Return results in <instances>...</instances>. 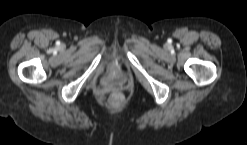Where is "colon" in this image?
Returning <instances> with one entry per match:
<instances>
[{
    "label": "colon",
    "mask_w": 247,
    "mask_h": 145,
    "mask_svg": "<svg viewBox=\"0 0 247 145\" xmlns=\"http://www.w3.org/2000/svg\"><path fill=\"white\" fill-rule=\"evenodd\" d=\"M112 99L113 100H116V101H118L120 98H119V96H117V95H114L113 97H112Z\"/></svg>",
    "instance_id": "obj_1"
}]
</instances>
